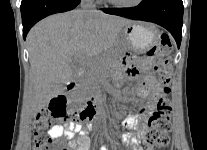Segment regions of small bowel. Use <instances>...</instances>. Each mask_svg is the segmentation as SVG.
<instances>
[{
	"instance_id": "obj_1",
	"label": "small bowel",
	"mask_w": 207,
	"mask_h": 150,
	"mask_svg": "<svg viewBox=\"0 0 207 150\" xmlns=\"http://www.w3.org/2000/svg\"><path fill=\"white\" fill-rule=\"evenodd\" d=\"M152 65L151 59H144L139 63L138 67L128 66L126 73L130 77H136L140 72H147ZM121 75L116 77V81L120 82ZM137 93L142 97H149L152 100H156L163 95L161 86L156 82L154 77L147 76L145 79L139 82L137 86ZM149 114L147 109H143L140 114L128 115L122 122V125L131 130H136V133H130L125 136L126 142L133 148V150H142L139 148L140 139L139 135L144 134L146 126L144 118ZM49 135L53 138H59L66 136L69 139V150H89L90 140L88 137V130L86 127L76 121L68 122L66 125H58L54 129L49 131ZM100 150H109V145H100Z\"/></svg>"
}]
</instances>
